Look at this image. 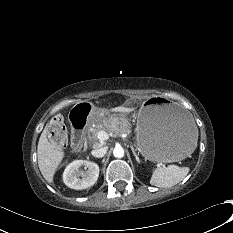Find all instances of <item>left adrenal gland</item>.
Listing matches in <instances>:
<instances>
[{
  "mask_svg": "<svg viewBox=\"0 0 233 233\" xmlns=\"http://www.w3.org/2000/svg\"><path fill=\"white\" fill-rule=\"evenodd\" d=\"M132 152H133V154H134V156H135L136 161H137L138 163H140V159H139V157L137 156V154H136V152H135V150H134L133 147H132Z\"/></svg>",
  "mask_w": 233,
  "mask_h": 233,
  "instance_id": "a2214340",
  "label": "left adrenal gland"
}]
</instances>
